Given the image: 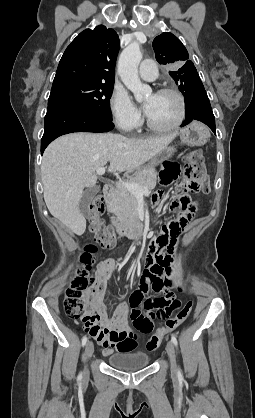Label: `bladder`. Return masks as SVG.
<instances>
[{
  "instance_id": "bladder-1",
  "label": "bladder",
  "mask_w": 255,
  "mask_h": 418,
  "mask_svg": "<svg viewBox=\"0 0 255 418\" xmlns=\"http://www.w3.org/2000/svg\"><path fill=\"white\" fill-rule=\"evenodd\" d=\"M108 363L113 368L132 371L146 367L150 363V356L144 351L114 354L108 357Z\"/></svg>"
}]
</instances>
